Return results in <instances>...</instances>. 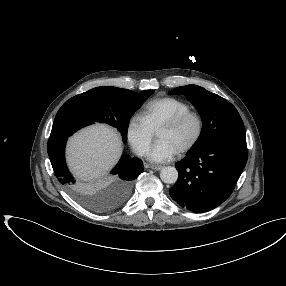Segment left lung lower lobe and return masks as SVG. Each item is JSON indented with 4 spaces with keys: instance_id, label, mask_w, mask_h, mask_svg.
Listing matches in <instances>:
<instances>
[{
    "instance_id": "obj_1",
    "label": "left lung lower lobe",
    "mask_w": 286,
    "mask_h": 286,
    "mask_svg": "<svg viewBox=\"0 0 286 286\" xmlns=\"http://www.w3.org/2000/svg\"><path fill=\"white\" fill-rule=\"evenodd\" d=\"M246 143L222 141L195 151L176 163L179 176L169 190L181 207L195 213L212 210L233 192L246 165Z\"/></svg>"
}]
</instances>
